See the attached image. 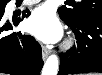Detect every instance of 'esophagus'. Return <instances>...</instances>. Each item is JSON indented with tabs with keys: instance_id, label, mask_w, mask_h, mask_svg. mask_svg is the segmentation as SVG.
<instances>
[{
	"instance_id": "obj_1",
	"label": "esophagus",
	"mask_w": 102,
	"mask_h": 75,
	"mask_svg": "<svg viewBox=\"0 0 102 75\" xmlns=\"http://www.w3.org/2000/svg\"><path fill=\"white\" fill-rule=\"evenodd\" d=\"M48 55H49V50L46 47L42 46V58H43V60H45L48 57Z\"/></svg>"
}]
</instances>
